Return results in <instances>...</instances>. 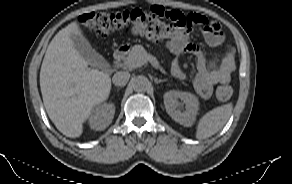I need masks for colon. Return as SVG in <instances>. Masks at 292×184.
<instances>
[{"label": "colon", "mask_w": 292, "mask_h": 184, "mask_svg": "<svg viewBox=\"0 0 292 184\" xmlns=\"http://www.w3.org/2000/svg\"><path fill=\"white\" fill-rule=\"evenodd\" d=\"M79 21L89 30L108 35L114 32H131L153 41H169L177 32L190 29L194 20L190 15L174 10H165L155 6L150 10L132 9L121 12H88L79 17ZM233 90L228 85L216 89L220 101H227Z\"/></svg>", "instance_id": "colon-1"}]
</instances>
